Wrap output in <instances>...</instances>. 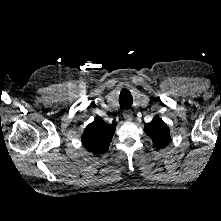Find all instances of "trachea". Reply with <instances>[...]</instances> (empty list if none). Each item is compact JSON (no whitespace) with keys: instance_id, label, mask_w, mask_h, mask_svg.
<instances>
[{"instance_id":"trachea-1","label":"trachea","mask_w":221,"mask_h":221,"mask_svg":"<svg viewBox=\"0 0 221 221\" xmlns=\"http://www.w3.org/2000/svg\"><path fill=\"white\" fill-rule=\"evenodd\" d=\"M133 103V98L130 94L128 93H121L120 94V97H119V104H120V108L123 109V108H128V107H131Z\"/></svg>"}]
</instances>
